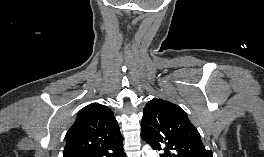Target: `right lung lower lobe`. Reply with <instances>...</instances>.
<instances>
[{
	"label": "right lung lower lobe",
	"mask_w": 264,
	"mask_h": 157,
	"mask_svg": "<svg viewBox=\"0 0 264 157\" xmlns=\"http://www.w3.org/2000/svg\"><path fill=\"white\" fill-rule=\"evenodd\" d=\"M126 154L124 153L123 147L118 148L114 152H111L104 157H125Z\"/></svg>",
	"instance_id": "1"
}]
</instances>
